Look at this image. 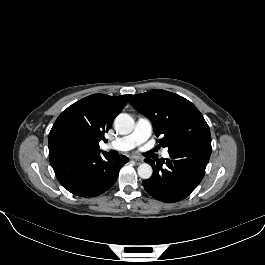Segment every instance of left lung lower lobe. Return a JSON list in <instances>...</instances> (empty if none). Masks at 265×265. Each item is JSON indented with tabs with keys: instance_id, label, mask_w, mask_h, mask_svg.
Masks as SVG:
<instances>
[{
	"instance_id": "left-lung-lower-lobe-1",
	"label": "left lung lower lobe",
	"mask_w": 265,
	"mask_h": 265,
	"mask_svg": "<svg viewBox=\"0 0 265 265\" xmlns=\"http://www.w3.org/2000/svg\"><path fill=\"white\" fill-rule=\"evenodd\" d=\"M169 155L156 163L145 159L152 166L153 175L143 181V186L156 199L173 203L189 196L201 182L211 155V140L189 144Z\"/></svg>"
}]
</instances>
